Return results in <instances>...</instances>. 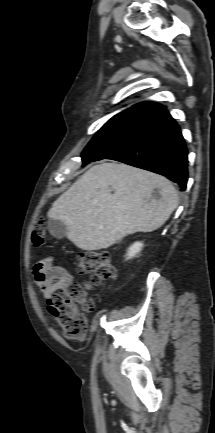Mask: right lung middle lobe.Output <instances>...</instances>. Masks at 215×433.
I'll use <instances>...</instances> for the list:
<instances>
[{"label":"right lung middle lobe","mask_w":215,"mask_h":433,"mask_svg":"<svg viewBox=\"0 0 215 433\" xmlns=\"http://www.w3.org/2000/svg\"><path fill=\"white\" fill-rule=\"evenodd\" d=\"M143 118L111 119L97 132L82 153L83 165L105 159L130 143L147 123Z\"/></svg>","instance_id":"right-lung-middle-lobe-1"}]
</instances>
